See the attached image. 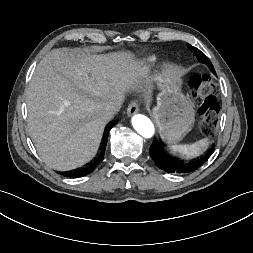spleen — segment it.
Segmentation results:
<instances>
[{
    "label": "spleen",
    "mask_w": 253,
    "mask_h": 253,
    "mask_svg": "<svg viewBox=\"0 0 253 253\" xmlns=\"http://www.w3.org/2000/svg\"><path fill=\"white\" fill-rule=\"evenodd\" d=\"M208 143L209 140L204 138L190 145H172L170 149L185 156H196L207 148Z\"/></svg>",
    "instance_id": "3e777b00"
}]
</instances>
